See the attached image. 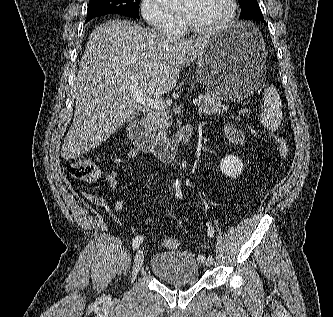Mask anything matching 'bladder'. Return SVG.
Segmentation results:
<instances>
[{
    "label": "bladder",
    "instance_id": "1",
    "mask_svg": "<svg viewBox=\"0 0 333 317\" xmlns=\"http://www.w3.org/2000/svg\"><path fill=\"white\" fill-rule=\"evenodd\" d=\"M149 270L156 278L172 285H188L200 278V264L194 253L170 250L155 253L149 261Z\"/></svg>",
    "mask_w": 333,
    "mask_h": 317
}]
</instances>
